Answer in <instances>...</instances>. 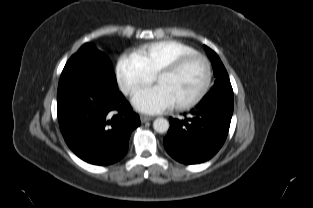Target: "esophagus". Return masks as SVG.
Listing matches in <instances>:
<instances>
[{
	"label": "esophagus",
	"mask_w": 313,
	"mask_h": 208,
	"mask_svg": "<svg viewBox=\"0 0 313 208\" xmlns=\"http://www.w3.org/2000/svg\"><path fill=\"white\" fill-rule=\"evenodd\" d=\"M140 120H141L142 123H145V122H147V121L152 120V117H150V116H145V115H141V116H140Z\"/></svg>",
	"instance_id": "1"
}]
</instances>
